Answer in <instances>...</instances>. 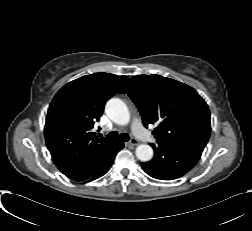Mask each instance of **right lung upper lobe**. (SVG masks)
I'll list each match as a JSON object with an SVG mask.
<instances>
[{
  "label": "right lung upper lobe",
  "instance_id": "obj_1",
  "mask_svg": "<svg viewBox=\"0 0 252 231\" xmlns=\"http://www.w3.org/2000/svg\"><path fill=\"white\" fill-rule=\"evenodd\" d=\"M128 79L104 72L67 83L53 98L46 117L45 139L57 168L75 181L87 180L119 141L91 131L104 105Z\"/></svg>",
  "mask_w": 252,
  "mask_h": 231
}]
</instances>
